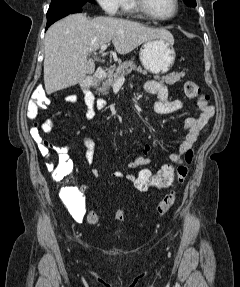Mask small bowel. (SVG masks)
I'll return each instance as SVG.
<instances>
[{"label": "small bowel", "instance_id": "1", "mask_svg": "<svg viewBox=\"0 0 240 287\" xmlns=\"http://www.w3.org/2000/svg\"><path fill=\"white\" fill-rule=\"evenodd\" d=\"M144 89L149 94L156 96V101L153 105V110L157 115H166L179 110L182 107V102L178 99L169 98L167 87L158 81L150 80L144 84ZM85 102L87 105V117H91L94 114L95 101L93 95L90 91L84 92ZM65 101L71 104H76L78 102V97L75 94H70L65 97ZM106 102L103 99H97L96 106L99 109L104 108ZM197 106L199 112L192 116H189L184 121L185 138L179 147L170 154V158H178L182 156L187 150L191 149L193 144L196 142L200 131L206 126L208 121L214 115V107L208 104V101L197 100ZM38 107L29 103L27 109V117L33 120L37 116ZM69 118L66 113L58 114L57 116L51 117L44 121L41 125V129L45 133H50L56 125L58 117ZM31 136L38 145L40 154L48 159L51 155V151L57 153L58 158L65 159L71 164L69 157L70 146H54L48 143L40 135V131L33 127L31 128ZM83 143L85 145V159L88 165H93L95 145L94 142L87 136L83 135ZM150 146L146 145L142 154L137 155L131 161L127 163L129 169H139L148 166L151 163L149 158ZM92 174L94 177L99 178L102 176V172L96 168L92 169ZM112 177L116 179L126 178L131 183L133 182V174H124L122 171L116 170L112 172ZM86 185H81L79 189H69L63 196L64 204L69 211L72 218L78 222L82 223L86 217V206L85 198L83 196V190Z\"/></svg>", "mask_w": 240, "mask_h": 287}]
</instances>
